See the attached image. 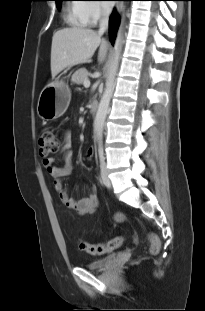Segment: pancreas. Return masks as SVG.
I'll list each match as a JSON object with an SVG mask.
<instances>
[{"mask_svg":"<svg viewBox=\"0 0 205 311\" xmlns=\"http://www.w3.org/2000/svg\"><path fill=\"white\" fill-rule=\"evenodd\" d=\"M85 79H88V71L85 68H81L72 75L71 81L80 85L84 83Z\"/></svg>","mask_w":205,"mask_h":311,"instance_id":"cf45deb5","label":"pancreas"}]
</instances>
